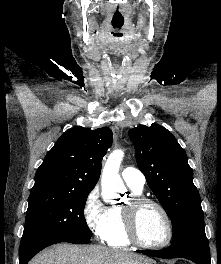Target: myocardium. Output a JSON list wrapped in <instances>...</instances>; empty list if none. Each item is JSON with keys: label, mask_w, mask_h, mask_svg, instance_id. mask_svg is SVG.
<instances>
[{"label": "myocardium", "mask_w": 221, "mask_h": 264, "mask_svg": "<svg viewBox=\"0 0 221 264\" xmlns=\"http://www.w3.org/2000/svg\"><path fill=\"white\" fill-rule=\"evenodd\" d=\"M145 205H152L156 207L165 219L167 225V237L160 244H148L142 241V239L139 237L137 229L138 213L140 209ZM122 216L125 233L131 243L139 247L151 250L163 249L171 243L174 234L173 223L167 210L158 201L142 195H133L129 202L122 207Z\"/></svg>", "instance_id": "1"}]
</instances>
